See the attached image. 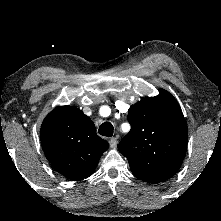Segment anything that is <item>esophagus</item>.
I'll list each match as a JSON object with an SVG mask.
<instances>
[{
  "instance_id": "esophagus-1",
  "label": "esophagus",
  "mask_w": 221,
  "mask_h": 221,
  "mask_svg": "<svg viewBox=\"0 0 221 221\" xmlns=\"http://www.w3.org/2000/svg\"><path fill=\"white\" fill-rule=\"evenodd\" d=\"M109 144L111 148H116L118 144V140L115 137L110 138Z\"/></svg>"
}]
</instances>
